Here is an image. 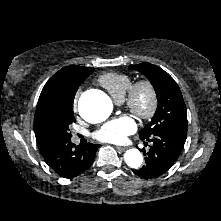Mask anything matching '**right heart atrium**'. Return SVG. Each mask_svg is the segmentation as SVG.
<instances>
[{
  "label": "right heart atrium",
  "instance_id": "obj_1",
  "mask_svg": "<svg viewBox=\"0 0 221 221\" xmlns=\"http://www.w3.org/2000/svg\"><path fill=\"white\" fill-rule=\"evenodd\" d=\"M78 98H79V92H77L76 95H75V97H74V101H73L74 109L77 108Z\"/></svg>",
  "mask_w": 221,
  "mask_h": 221
}]
</instances>
